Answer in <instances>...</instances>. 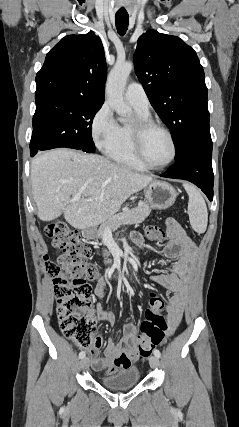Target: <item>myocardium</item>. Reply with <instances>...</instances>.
Listing matches in <instances>:
<instances>
[{
  "label": "myocardium",
  "instance_id": "f54148a6",
  "mask_svg": "<svg viewBox=\"0 0 239 427\" xmlns=\"http://www.w3.org/2000/svg\"><path fill=\"white\" fill-rule=\"evenodd\" d=\"M155 129L164 132L168 136L172 145L171 158L167 162L161 165H154L150 163L144 154L145 138L151 130H155ZM130 133H131V141H132L134 154L138 159V161L142 165H144L147 169H153V170L164 169L168 167L171 163H173V161L176 159V156H177L176 140L173 134L171 133V131L165 126H163L162 124L155 122L151 118L137 117L135 121L130 125Z\"/></svg>",
  "mask_w": 239,
  "mask_h": 427
}]
</instances>
